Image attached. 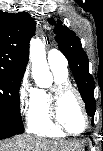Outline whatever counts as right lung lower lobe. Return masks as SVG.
Listing matches in <instances>:
<instances>
[{
    "label": "right lung lower lobe",
    "mask_w": 103,
    "mask_h": 151,
    "mask_svg": "<svg viewBox=\"0 0 103 151\" xmlns=\"http://www.w3.org/2000/svg\"><path fill=\"white\" fill-rule=\"evenodd\" d=\"M11 136H14V134H3V135H0V140L8 138V137H11Z\"/></svg>",
    "instance_id": "1"
}]
</instances>
